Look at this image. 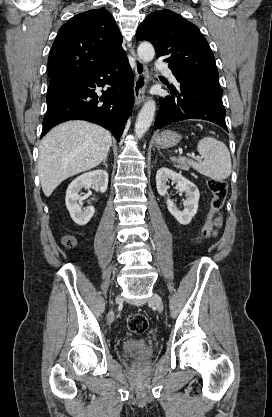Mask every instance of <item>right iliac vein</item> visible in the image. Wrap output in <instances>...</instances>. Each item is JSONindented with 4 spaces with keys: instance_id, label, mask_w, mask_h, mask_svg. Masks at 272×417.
Wrapping results in <instances>:
<instances>
[{
    "instance_id": "right-iliac-vein-1",
    "label": "right iliac vein",
    "mask_w": 272,
    "mask_h": 417,
    "mask_svg": "<svg viewBox=\"0 0 272 417\" xmlns=\"http://www.w3.org/2000/svg\"><path fill=\"white\" fill-rule=\"evenodd\" d=\"M121 300H122V297L120 295L116 296V299H115L116 302H120Z\"/></svg>"
}]
</instances>
